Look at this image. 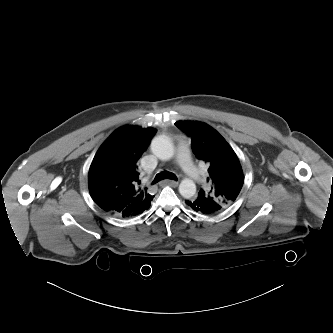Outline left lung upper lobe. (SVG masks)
I'll return each instance as SVG.
<instances>
[{
    "mask_svg": "<svg viewBox=\"0 0 333 333\" xmlns=\"http://www.w3.org/2000/svg\"><path fill=\"white\" fill-rule=\"evenodd\" d=\"M175 125L191 138L194 154L209 165V191L199 194L215 200L221 211L238 197L244 182L239 159L225 139L212 127L201 122L177 121Z\"/></svg>",
    "mask_w": 333,
    "mask_h": 333,
    "instance_id": "5c2ea615",
    "label": "left lung upper lobe"
}]
</instances>
